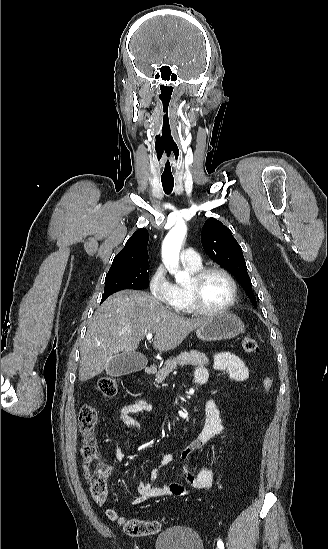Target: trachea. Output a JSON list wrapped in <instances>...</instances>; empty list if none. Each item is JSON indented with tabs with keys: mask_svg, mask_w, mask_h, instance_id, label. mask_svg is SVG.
I'll list each match as a JSON object with an SVG mask.
<instances>
[{
	"mask_svg": "<svg viewBox=\"0 0 328 549\" xmlns=\"http://www.w3.org/2000/svg\"><path fill=\"white\" fill-rule=\"evenodd\" d=\"M165 194H170L174 187V180H161Z\"/></svg>",
	"mask_w": 328,
	"mask_h": 549,
	"instance_id": "trachea-1",
	"label": "trachea"
}]
</instances>
